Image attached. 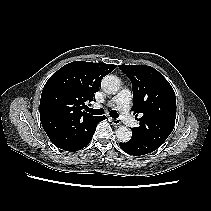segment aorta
<instances>
[{"label":"aorta","mask_w":211,"mask_h":211,"mask_svg":"<svg viewBox=\"0 0 211 211\" xmlns=\"http://www.w3.org/2000/svg\"><path fill=\"white\" fill-rule=\"evenodd\" d=\"M101 87L105 93L114 95L119 91L120 79L115 75H107L101 81ZM132 132L126 126H120L116 130V137L120 142H127L131 139Z\"/></svg>","instance_id":"aorta-1"}]
</instances>
